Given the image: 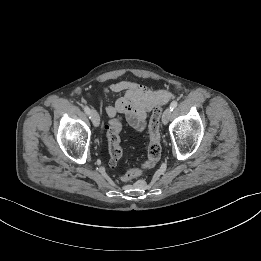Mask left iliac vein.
<instances>
[{
	"mask_svg": "<svg viewBox=\"0 0 261 261\" xmlns=\"http://www.w3.org/2000/svg\"><path fill=\"white\" fill-rule=\"evenodd\" d=\"M171 117V110L170 108L165 109V111L162 114V123L166 125Z\"/></svg>",
	"mask_w": 261,
	"mask_h": 261,
	"instance_id": "left-iliac-vein-1",
	"label": "left iliac vein"
}]
</instances>
